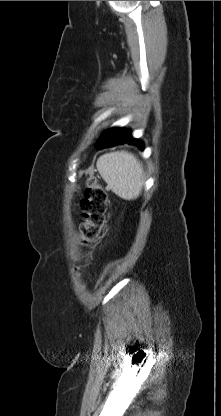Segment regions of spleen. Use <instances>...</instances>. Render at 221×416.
Instances as JSON below:
<instances>
[{
  "mask_svg": "<svg viewBox=\"0 0 221 416\" xmlns=\"http://www.w3.org/2000/svg\"><path fill=\"white\" fill-rule=\"evenodd\" d=\"M111 190L125 200L136 199L144 184V170L137 158L126 151L106 153L96 163Z\"/></svg>",
  "mask_w": 221,
  "mask_h": 416,
  "instance_id": "3e777b00",
  "label": "spleen"
}]
</instances>
